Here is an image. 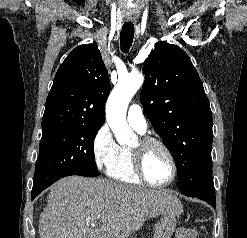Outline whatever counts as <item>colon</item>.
Masks as SVG:
<instances>
[{
    "instance_id": "5ec220e1",
    "label": "colon",
    "mask_w": 247,
    "mask_h": 238,
    "mask_svg": "<svg viewBox=\"0 0 247 238\" xmlns=\"http://www.w3.org/2000/svg\"><path fill=\"white\" fill-rule=\"evenodd\" d=\"M176 238H200V236L198 232L193 229L181 227L176 231Z\"/></svg>"
}]
</instances>
